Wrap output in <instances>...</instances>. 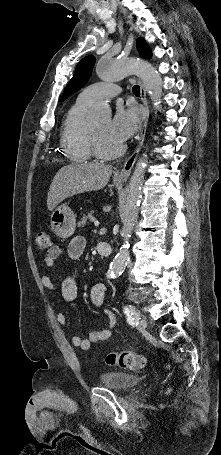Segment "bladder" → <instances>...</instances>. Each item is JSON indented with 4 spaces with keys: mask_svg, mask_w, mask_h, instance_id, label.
<instances>
[{
    "mask_svg": "<svg viewBox=\"0 0 221 455\" xmlns=\"http://www.w3.org/2000/svg\"><path fill=\"white\" fill-rule=\"evenodd\" d=\"M102 386L116 390H129L140 383V378L136 375L118 372L105 371L99 377Z\"/></svg>",
    "mask_w": 221,
    "mask_h": 455,
    "instance_id": "bladder-1",
    "label": "bladder"
}]
</instances>
